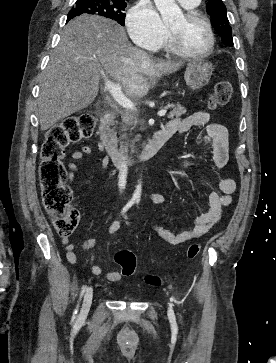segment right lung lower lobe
Segmentation results:
<instances>
[{
  "instance_id": "1",
  "label": "right lung lower lobe",
  "mask_w": 276,
  "mask_h": 363,
  "mask_svg": "<svg viewBox=\"0 0 276 363\" xmlns=\"http://www.w3.org/2000/svg\"><path fill=\"white\" fill-rule=\"evenodd\" d=\"M70 19H72V18L68 17V18H67V21H69Z\"/></svg>"
}]
</instances>
